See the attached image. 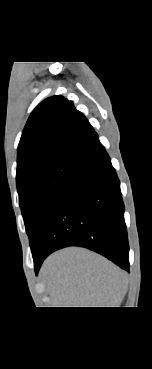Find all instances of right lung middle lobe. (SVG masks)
Listing matches in <instances>:
<instances>
[{"label": "right lung middle lobe", "instance_id": "right-lung-middle-lobe-1", "mask_svg": "<svg viewBox=\"0 0 152 369\" xmlns=\"http://www.w3.org/2000/svg\"><path fill=\"white\" fill-rule=\"evenodd\" d=\"M74 166V162L61 161L49 167L32 170L17 180L19 204L32 253Z\"/></svg>", "mask_w": 152, "mask_h": 369}]
</instances>
